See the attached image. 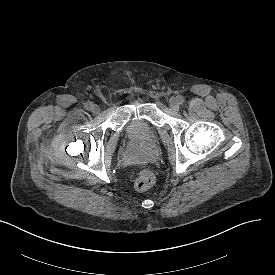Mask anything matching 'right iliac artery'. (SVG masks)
<instances>
[{"instance_id": "right-iliac-artery-1", "label": "right iliac artery", "mask_w": 275, "mask_h": 275, "mask_svg": "<svg viewBox=\"0 0 275 275\" xmlns=\"http://www.w3.org/2000/svg\"><path fill=\"white\" fill-rule=\"evenodd\" d=\"M91 108H92V103L91 102L85 103V109L86 110H91Z\"/></svg>"}]
</instances>
